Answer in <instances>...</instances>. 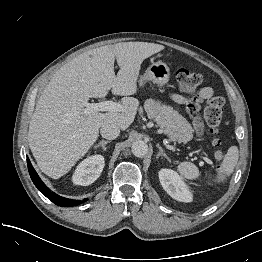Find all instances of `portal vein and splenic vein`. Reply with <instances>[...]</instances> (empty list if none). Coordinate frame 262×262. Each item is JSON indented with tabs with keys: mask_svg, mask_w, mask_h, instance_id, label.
<instances>
[{
	"mask_svg": "<svg viewBox=\"0 0 262 262\" xmlns=\"http://www.w3.org/2000/svg\"><path fill=\"white\" fill-rule=\"evenodd\" d=\"M85 106V110L84 112L90 113L93 111H108V112H123L124 108L116 102L113 101H103V102H99V103H84Z\"/></svg>",
	"mask_w": 262,
	"mask_h": 262,
	"instance_id": "1",
	"label": "portal vein and splenic vein"
}]
</instances>
